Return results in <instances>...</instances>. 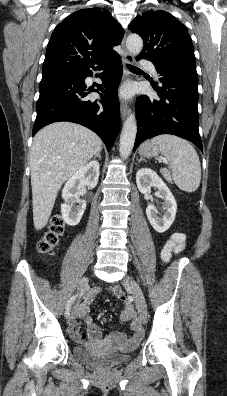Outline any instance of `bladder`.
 Wrapping results in <instances>:
<instances>
[{"mask_svg":"<svg viewBox=\"0 0 227 396\" xmlns=\"http://www.w3.org/2000/svg\"><path fill=\"white\" fill-rule=\"evenodd\" d=\"M73 355L79 362L96 369H110L129 358L127 353L101 354L83 347H74Z\"/></svg>","mask_w":227,"mask_h":396,"instance_id":"1","label":"bladder"}]
</instances>
